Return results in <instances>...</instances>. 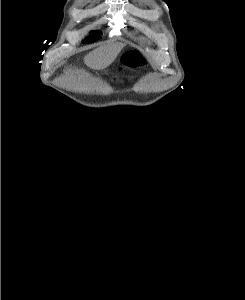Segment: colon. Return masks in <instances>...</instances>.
Masks as SVG:
<instances>
[{
	"label": "colon",
	"instance_id": "colon-1",
	"mask_svg": "<svg viewBox=\"0 0 245 300\" xmlns=\"http://www.w3.org/2000/svg\"><path fill=\"white\" fill-rule=\"evenodd\" d=\"M143 64V58L142 56L137 53L133 52L128 55H126L123 59V65L130 68H136Z\"/></svg>",
	"mask_w": 245,
	"mask_h": 300
}]
</instances>
